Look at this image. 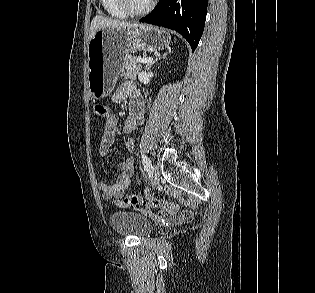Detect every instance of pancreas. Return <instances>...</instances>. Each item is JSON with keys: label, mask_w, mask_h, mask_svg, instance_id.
I'll use <instances>...</instances> for the list:
<instances>
[{"label": "pancreas", "mask_w": 315, "mask_h": 293, "mask_svg": "<svg viewBox=\"0 0 315 293\" xmlns=\"http://www.w3.org/2000/svg\"><path fill=\"white\" fill-rule=\"evenodd\" d=\"M123 66L121 76L125 79H136L139 72L142 70V64L137 62L135 57L131 56L124 58Z\"/></svg>", "instance_id": "obj_1"}]
</instances>
